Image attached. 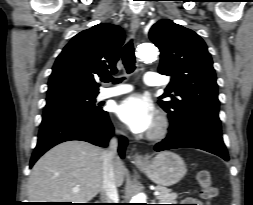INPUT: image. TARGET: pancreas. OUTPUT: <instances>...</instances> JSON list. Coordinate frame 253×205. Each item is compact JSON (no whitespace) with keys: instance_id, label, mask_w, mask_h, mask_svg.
<instances>
[{"instance_id":"1","label":"pancreas","mask_w":253,"mask_h":205,"mask_svg":"<svg viewBox=\"0 0 253 205\" xmlns=\"http://www.w3.org/2000/svg\"><path fill=\"white\" fill-rule=\"evenodd\" d=\"M156 190L160 192V195L157 196V199L161 204H175L177 194L171 192L170 189L164 186H156Z\"/></svg>"}]
</instances>
